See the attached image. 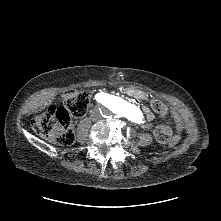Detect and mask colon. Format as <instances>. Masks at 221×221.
Instances as JSON below:
<instances>
[{"label":"colon","instance_id":"obj_1","mask_svg":"<svg viewBox=\"0 0 221 221\" xmlns=\"http://www.w3.org/2000/svg\"><path fill=\"white\" fill-rule=\"evenodd\" d=\"M89 96L86 91L67 89L60 96V107L49 106L44 111H35L33 114V126L36 131L44 136H50L61 146H70L74 142V129L71 117L81 116L85 113ZM152 109L162 118H166L168 110L165 103L155 97L151 99ZM159 142L171 141V130L167 125H160L155 131ZM181 135L179 129L176 138Z\"/></svg>","mask_w":221,"mask_h":221}]
</instances>
